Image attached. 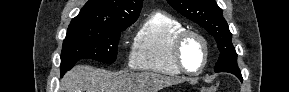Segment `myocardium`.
<instances>
[{"instance_id":"f54148a6","label":"myocardium","mask_w":289,"mask_h":92,"mask_svg":"<svg viewBox=\"0 0 289 92\" xmlns=\"http://www.w3.org/2000/svg\"><path fill=\"white\" fill-rule=\"evenodd\" d=\"M189 38H196L197 40H199L201 45H202V48H203L202 64L195 71H191V70L187 69L183 63V60H182V48H183V45L186 42V40ZM172 53H173V58H174V61L177 65V67L183 73H186L189 75H198L205 69V67L208 63V59H209L208 42H207L206 38L202 34H200L199 32L185 29L184 31L179 33L177 35V37L175 38L174 43H173V47H172Z\"/></svg>"}]
</instances>
